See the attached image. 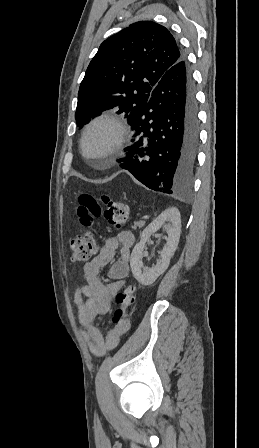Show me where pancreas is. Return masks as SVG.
Returning <instances> with one entry per match:
<instances>
[{"label":"pancreas","instance_id":"cf45deb5","mask_svg":"<svg viewBox=\"0 0 259 448\" xmlns=\"http://www.w3.org/2000/svg\"><path fill=\"white\" fill-rule=\"evenodd\" d=\"M135 226H132L133 230H136L137 226L138 228H142L144 226V222H134Z\"/></svg>","mask_w":259,"mask_h":448}]
</instances>
